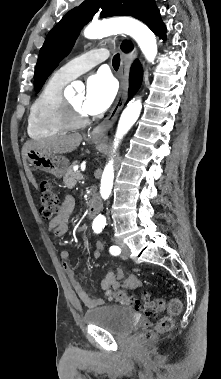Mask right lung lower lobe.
Returning <instances> with one entry per match:
<instances>
[{
  "instance_id": "98d812e1",
  "label": "right lung lower lobe",
  "mask_w": 221,
  "mask_h": 379,
  "mask_svg": "<svg viewBox=\"0 0 221 379\" xmlns=\"http://www.w3.org/2000/svg\"><path fill=\"white\" fill-rule=\"evenodd\" d=\"M143 72L140 63L136 60L130 71V80H129V95H133L142 82Z\"/></svg>"
}]
</instances>
